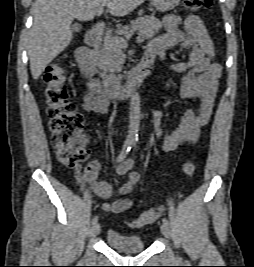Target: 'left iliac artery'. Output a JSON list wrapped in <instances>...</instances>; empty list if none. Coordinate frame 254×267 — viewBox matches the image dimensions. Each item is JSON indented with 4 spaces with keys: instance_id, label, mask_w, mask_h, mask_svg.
Masks as SVG:
<instances>
[{
    "instance_id": "left-iliac-artery-1",
    "label": "left iliac artery",
    "mask_w": 254,
    "mask_h": 267,
    "mask_svg": "<svg viewBox=\"0 0 254 267\" xmlns=\"http://www.w3.org/2000/svg\"><path fill=\"white\" fill-rule=\"evenodd\" d=\"M134 146H136V145L134 144ZM163 223L166 224L167 226H169V221L166 218H163Z\"/></svg>"
}]
</instances>
